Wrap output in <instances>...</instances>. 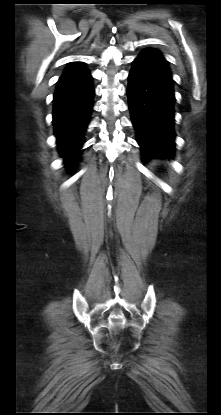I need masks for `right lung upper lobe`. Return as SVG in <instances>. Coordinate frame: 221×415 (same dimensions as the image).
<instances>
[{
    "label": "right lung upper lobe",
    "instance_id": "right-lung-upper-lobe-1",
    "mask_svg": "<svg viewBox=\"0 0 221 415\" xmlns=\"http://www.w3.org/2000/svg\"><path fill=\"white\" fill-rule=\"evenodd\" d=\"M78 62H74V63H71V64H77Z\"/></svg>",
    "mask_w": 221,
    "mask_h": 415
}]
</instances>
